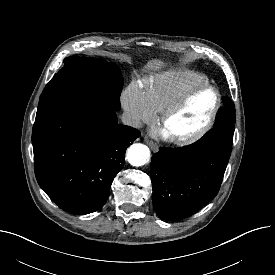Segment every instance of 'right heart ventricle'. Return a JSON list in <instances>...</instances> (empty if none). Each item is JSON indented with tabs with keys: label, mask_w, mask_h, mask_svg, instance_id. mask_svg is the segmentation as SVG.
Masks as SVG:
<instances>
[{
	"label": "right heart ventricle",
	"mask_w": 275,
	"mask_h": 275,
	"mask_svg": "<svg viewBox=\"0 0 275 275\" xmlns=\"http://www.w3.org/2000/svg\"><path fill=\"white\" fill-rule=\"evenodd\" d=\"M207 78L191 71H168L150 77L143 91L154 112H162L186 92L207 84Z\"/></svg>",
	"instance_id": "1"
}]
</instances>
